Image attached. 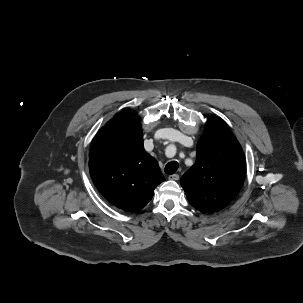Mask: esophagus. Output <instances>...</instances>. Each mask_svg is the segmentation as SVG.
Masks as SVG:
<instances>
[{
	"mask_svg": "<svg viewBox=\"0 0 303 303\" xmlns=\"http://www.w3.org/2000/svg\"><path fill=\"white\" fill-rule=\"evenodd\" d=\"M169 179L177 181L179 179V175L178 174H172V175L169 176Z\"/></svg>",
	"mask_w": 303,
	"mask_h": 303,
	"instance_id": "obj_1",
	"label": "esophagus"
}]
</instances>
